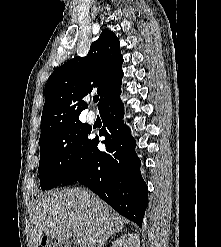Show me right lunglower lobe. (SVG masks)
I'll list each match as a JSON object with an SVG mask.
<instances>
[{
    "label": "right lung lower lobe",
    "instance_id": "1",
    "mask_svg": "<svg viewBox=\"0 0 221 247\" xmlns=\"http://www.w3.org/2000/svg\"><path fill=\"white\" fill-rule=\"evenodd\" d=\"M100 114L104 124L100 135L105 136L102 143L106 151L98 149V137L91 139L86 153L61 185L79 182L89 187L114 210L142 227L148 206L147 185L141 176L136 142L122 120L124 105L120 97L106 104Z\"/></svg>",
    "mask_w": 221,
    "mask_h": 247
}]
</instances>
